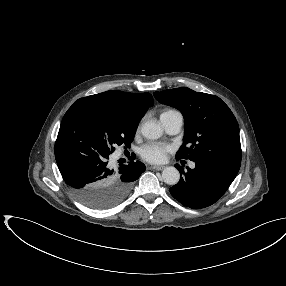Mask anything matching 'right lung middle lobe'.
Listing matches in <instances>:
<instances>
[{
    "label": "right lung middle lobe",
    "mask_w": 286,
    "mask_h": 286,
    "mask_svg": "<svg viewBox=\"0 0 286 286\" xmlns=\"http://www.w3.org/2000/svg\"><path fill=\"white\" fill-rule=\"evenodd\" d=\"M61 123L72 127L81 138L111 154L115 146H130L138 121L102 102L77 100Z\"/></svg>",
    "instance_id": "obj_1"
}]
</instances>
